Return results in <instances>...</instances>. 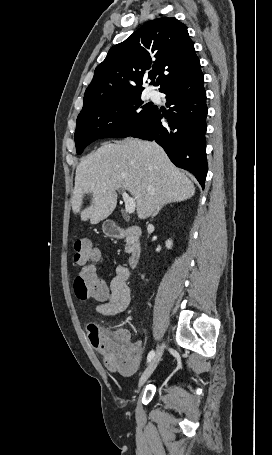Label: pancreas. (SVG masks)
I'll list each match as a JSON object with an SVG mask.
<instances>
[{
  "mask_svg": "<svg viewBox=\"0 0 272 455\" xmlns=\"http://www.w3.org/2000/svg\"><path fill=\"white\" fill-rule=\"evenodd\" d=\"M125 252L126 253H130L131 252V249L129 247H125Z\"/></svg>",
  "mask_w": 272,
  "mask_h": 455,
  "instance_id": "1",
  "label": "pancreas"
}]
</instances>
